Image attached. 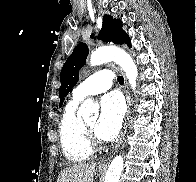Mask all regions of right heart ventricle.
Listing matches in <instances>:
<instances>
[{
  "label": "right heart ventricle",
  "mask_w": 196,
  "mask_h": 182,
  "mask_svg": "<svg viewBox=\"0 0 196 182\" xmlns=\"http://www.w3.org/2000/svg\"><path fill=\"white\" fill-rule=\"evenodd\" d=\"M79 101L73 98L67 103L59 126L63 153L73 163L86 161L92 153V147L86 137L83 121L77 114Z\"/></svg>",
  "instance_id": "1"
}]
</instances>
